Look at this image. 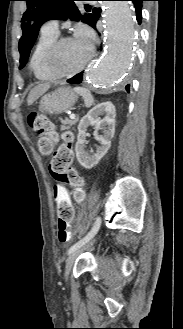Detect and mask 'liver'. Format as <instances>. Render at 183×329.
I'll use <instances>...</instances> for the list:
<instances>
[{
	"label": "liver",
	"instance_id": "liver-1",
	"mask_svg": "<svg viewBox=\"0 0 183 329\" xmlns=\"http://www.w3.org/2000/svg\"><path fill=\"white\" fill-rule=\"evenodd\" d=\"M50 88L49 83L39 84L35 86L29 93L27 104L32 105L39 97H41Z\"/></svg>",
	"mask_w": 183,
	"mask_h": 329
}]
</instances>
